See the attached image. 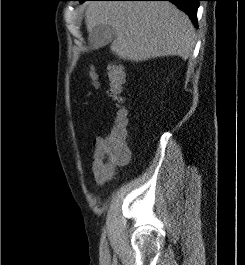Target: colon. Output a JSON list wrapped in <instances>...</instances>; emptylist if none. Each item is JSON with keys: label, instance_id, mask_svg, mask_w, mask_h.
<instances>
[{"label": "colon", "instance_id": "5ec220e1", "mask_svg": "<svg viewBox=\"0 0 245 265\" xmlns=\"http://www.w3.org/2000/svg\"><path fill=\"white\" fill-rule=\"evenodd\" d=\"M107 76L110 85V95L120 102L125 85V72L123 67L115 62L110 63L107 66ZM89 78L92 84L97 86V75L93 70L89 71ZM127 140V112L124 108L119 107L114 126L104 136L101 145L94 151V166L111 175L116 167L123 165L129 160L130 151Z\"/></svg>", "mask_w": 245, "mask_h": 265}]
</instances>
